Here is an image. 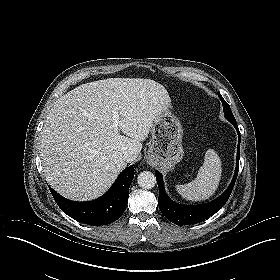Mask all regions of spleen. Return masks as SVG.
<instances>
[{
	"instance_id": "obj_1",
	"label": "spleen",
	"mask_w": 280,
	"mask_h": 280,
	"mask_svg": "<svg viewBox=\"0 0 280 280\" xmlns=\"http://www.w3.org/2000/svg\"><path fill=\"white\" fill-rule=\"evenodd\" d=\"M222 162L218 154L209 149L205 153L203 165L196 178L187 184L176 185L178 193L189 201H203L217 190L222 174Z\"/></svg>"
}]
</instances>
